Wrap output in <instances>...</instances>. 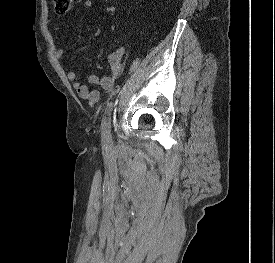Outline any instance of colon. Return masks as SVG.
Instances as JSON below:
<instances>
[{"label": "colon", "instance_id": "5ec220e1", "mask_svg": "<svg viewBox=\"0 0 275 263\" xmlns=\"http://www.w3.org/2000/svg\"><path fill=\"white\" fill-rule=\"evenodd\" d=\"M51 2L55 13L63 15L72 8L74 0H51Z\"/></svg>", "mask_w": 275, "mask_h": 263}]
</instances>
